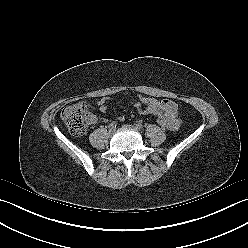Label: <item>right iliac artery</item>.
Instances as JSON below:
<instances>
[{"label": "right iliac artery", "mask_w": 248, "mask_h": 248, "mask_svg": "<svg viewBox=\"0 0 248 248\" xmlns=\"http://www.w3.org/2000/svg\"><path fill=\"white\" fill-rule=\"evenodd\" d=\"M117 127V122L113 121L110 125L109 128L110 129H115Z\"/></svg>", "instance_id": "1"}]
</instances>
